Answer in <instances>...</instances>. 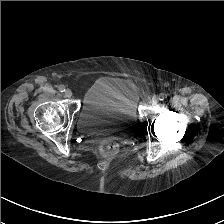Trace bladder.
<instances>
[{
	"mask_svg": "<svg viewBox=\"0 0 224 224\" xmlns=\"http://www.w3.org/2000/svg\"><path fill=\"white\" fill-rule=\"evenodd\" d=\"M134 94L117 77L102 76L86 90L77 117L78 131L87 136H131L137 126Z\"/></svg>",
	"mask_w": 224,
	"mask_h": 224,
	"instance_id": "1",
	"label": "bladder"
}]
</instances>
